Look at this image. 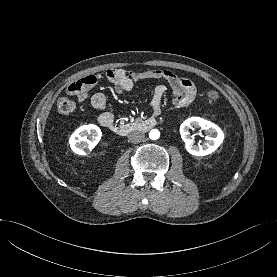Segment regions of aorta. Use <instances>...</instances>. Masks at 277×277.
I'll list each match as a JSON object with an SVG mask.
<instances>
[{
    "instance_id": "762f6f07",
    "label": "aorta",
    "mask_w": 277,
    "mask_h": 277,
    "mask_svg": "<svg viewBox=\"0 0 277 277\" xmlns=\"http://www.w3.org/2000/svg\"><path fill=\"white\" fill-rule=\"evenodd\" d=\"M149 137L152 140H157L160 137V132L157 129H152L149 133Z\"/></svg>"
}]
</instances>
